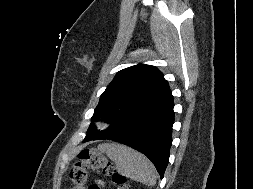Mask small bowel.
<instances>
[{"mask_svg": "<svg viewBox=\"0 0 253 189\" xmlns=\"http://www.w3.org/2000/svg\"><path fill=\"white\" fill-rule=\"evenodd\" d=\"M98 183H99V184H102V182H101V181H98Z\"/></svg>", "mask_w": 253, "mask_h": 189, "instance_id": "small-bowel-1", "label": "small bowel"}]
</instances>
